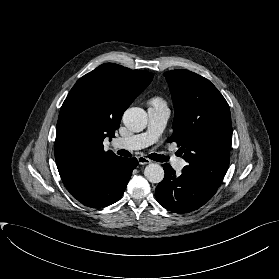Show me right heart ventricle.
I'll return each mask as SVG.
<instances>
[{
    "label": "right heart ventricle",
    "mask_w": 279,
    "mask_h": 279,
    "mask_svg": "<svg viewBox=\"0 0 279 279\" xmlns=\"http://www.w3.org/2000/svg\"><path fill=\"white\" fill-rule=\"evenodd\" d=\"M152 105H163V102L160 98L156 97L151 100Z\"/></svg>",
    "instance_id": "right-heart-ventricle-1"
}]
</instances>
